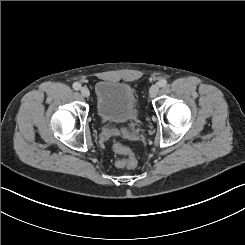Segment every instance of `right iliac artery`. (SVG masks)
Returning a JSON list of instances; mask_svg holds the SVG:
<instances>
[{"label": "right iliac artery", "instance_id": "right-iliac-artery-1", "mask_svg": "<svg viewBox=\"0 0 245 245\" xmlns=\"http://www.w3.org/2000/svg\"><path fill=\"white\" fill-rule=\"evenodd\" d=\"M73 88H74L75 90H79V89L81 88V84L78 83V82H75V83H73Z\"/></svg>", "mask_w": 245, "mask_h": 245}]
</instances>
